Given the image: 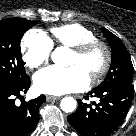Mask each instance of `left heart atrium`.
Returning a JSON list of instances; mask_svg holds the SVG:
<instances>
[{"instance_id": "1", "label": "left heart atrium", "mask_w": 136, "mask_h": 136, "mask_svg": "<svg viewBox=\"0 0 136 136\" xmlns=\"http://www.w3.org/2000/svg\"><path fill=\"white\" fill-rule=\"evenodd\" d=\"M88 85L89 77L78 65L67 68L50 66L34 76L36 90L51 95L81 91Z\"/></svg>"}]
</instances>
